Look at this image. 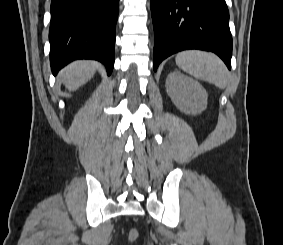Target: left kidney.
<instances>
[{
    "label": "left kidney",
    "mask_w": 283,
    "mask_h": 245,
    "mask_svg": "<svg viewBox=\"0 0 283 245\" xmlns=\"http://www.w3.org/2000/svg\"><path fill=\"white\" fill-rule=\"evenodd\" d=\"M166 90L175 106L182 112L196 115L207 107V92L196 80L175 71L166 79Z\"/></svg>",
    "instance_id": "left-kidney-1"
}]
</instances>
